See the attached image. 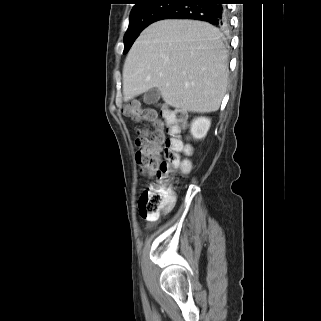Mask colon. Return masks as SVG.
<instances>
[{
    "label": "colon",
    "instance_id": "5ec220e1",
    "mask_svg": "<svg viewBox=\"0 0 321 321\" xmlns=\"http://www.w3.org/2000/svg\"><path fill=\"white\" fill-rule=\"evenodd\" d=\"M125 115L136 120H147L153 123L154 129H142L138 132L136 160L145 177L149 179L146 190L139 199V212L144 218L167 214L173 205L174 194L169 184L173 170L187 173L191 169L188 160L182 154H190L191 148L180 136L184 122V113L179 110L165 109L163 120H157L153 110L144 107L139 101L125 105ZM169 136L164 139L162 128ZM164 144L163 158L160 157L161 145Z\"/></svg>",
    "mask_w": 321,
    "mask_h": 321
}]
</instances>
